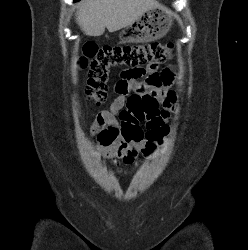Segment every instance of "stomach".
<instances>
[{"mask_svg": "<svg viewBox=\"0 0 248 250\" xmlns=\"http://www.w3.org/2000/svg\"><path fill=\"white\" fill-rule=\"evenodd\" d=\"M172 19L169 11L162 8H152L129 25L132 35L127 40L136 43H147L163 37L170 29Z\"/></svg>", "mask_w": 248, "mask_h": 250, "instance_id": "stomach-1", "label": "stomach"}]
</instances>
